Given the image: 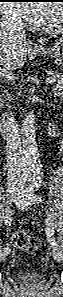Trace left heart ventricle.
<instances>
[{
	"mask_svg": "<svg viewBox=\"0 0 63 297\" xmlns=\"http://www.w3.org/2000/svg\"><path fill=\"white\" fill-rule=\"evenodd\" d=\"M45 25H57L60 20V10L57 5L47 4L42 6L40 14L35 18Z\"/></svg>",
	"mask_w": 63,
	"mask_h": 297,
	"instance_id": "left-heart-ventricle-1",
	"label": "left heart ventricle"
}]
</instances>
